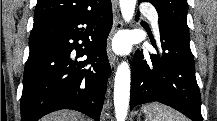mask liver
Instances as JSON below:
<instances>
[{"label": "liver", "instance_id": "obj_1", "mask_svg": "<svg viewBox=\"0 0 217 121\" xmlns=\"http://www.w3.org/2000/svg\"><path fill=\"white\" fill-rule=\"evenodd\" d=\"M81 119L75 111L61 110L43 117L41 121H82Z\"/></svg>", "mask_w": 217, "mask_h": 121}]
</instances>
